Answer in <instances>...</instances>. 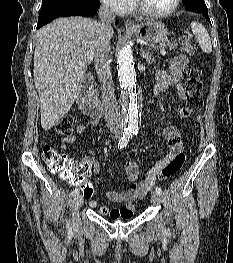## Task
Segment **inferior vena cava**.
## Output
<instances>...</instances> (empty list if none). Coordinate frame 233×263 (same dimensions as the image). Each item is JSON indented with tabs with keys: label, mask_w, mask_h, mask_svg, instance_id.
Here are the masks:
<instances>
[{
	"label": "inferior vena cava",
	"mask_w": 233,
	"mask_h": 263,
	"mask_svg": "<svg viewBox=\"0 0 233 263\" xmlns=\"http://www.w3.org/2000/svg\"><path fill=\"white\" fill-rule=\"evenodd\" d=\"M98 22V44L95 52V67L100 77L102 101L105 109V119L110 130L121 128L122 122L119 107L114 94V84L107 57L110 52V33L112 22L115 21L113 10L107 5L102 4L99 9Z\"/></svg>",
	"instance_id": "obj_1"
}]
</instances>
